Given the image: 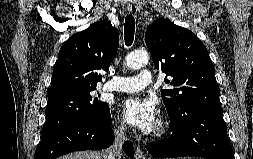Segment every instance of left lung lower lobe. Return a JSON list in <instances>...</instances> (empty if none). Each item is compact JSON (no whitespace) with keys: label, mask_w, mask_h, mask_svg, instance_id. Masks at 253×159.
Segmentation results:
<instances>
[{"label":"left lung lower lobe","mask_w":253,"mask_h":159,"mask_svg":"<svg viewBox=\"0 0 253 159\" xmlns=\"http://www.w3.org/2000/svg\"><path fill=\"white\" fill-rule=\"evenodd\" d=\"M170 130L169 138L146 146L153 157L235 159L222 107H189L177 121L170 122Z\"/></svg>","instance_id":"obj_1"}]
</instances>
